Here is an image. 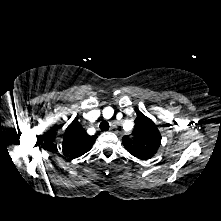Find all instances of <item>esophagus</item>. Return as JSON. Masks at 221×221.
Segmentation results:
<instances>
[{
    "label": "esophagus",
    "mask_w": 221,
    "mask_h": 221,
    "mask_svg": "<svg viewBox=\"0 0 221 221\" xmlns=\"http://www.w3.org/2000/svg\"><path fill=\"white\" fill-rule=\"evenodd\" d=\"M110 131H111L112 133H115V134L118 133V131H117V129H116L115 126H112L111 129H110Z\"/></svg>",
    "instance_id": "obj_1"
}]
</instances>
